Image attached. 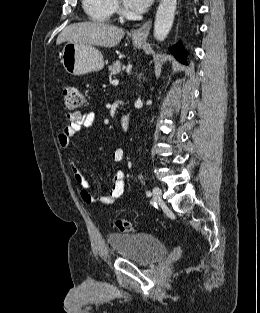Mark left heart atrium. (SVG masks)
<instances>
[{
	"label": "left heart atrium",
	"instance_id": "left-heart-atrium-1",
	"mask_svg": "<svg viewBox=\"0 0 260 313\" xmlns=\"http://www.w3.org/2000/svg\"><path fill=\"white\" fill-rule=\"evenodd\" d=\"M152 2L153 0H124V4L137 13L145 11Z\"/></svg>",
	"mask_w": 260,
	"mask_h": 313
}]
</instances>
